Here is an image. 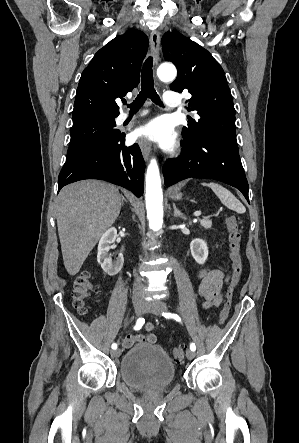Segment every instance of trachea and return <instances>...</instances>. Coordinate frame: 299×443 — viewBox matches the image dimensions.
Wrapping results in <instances>:
<instances>
[{
    "instance_id": "3493384b",
    "label": "trachea",
    "mask_w": 299,
    "mask_h": 443,
    "mask_svg": "<svg viewBox=\"0 0 299 443\" xmlns=\"http://www.w3.org/2000/svg\"><path fill=\"white\" fill-rule=\"evenodd\" d=\"M153 58L148 57L143 65L141 72V91L133 103L129 104L131 112H136L143 105L147 98H150L155 104L162 106V102L154 88L153 80ZM126 104V102H124Z\"/></svg>"
}]
</instances>
